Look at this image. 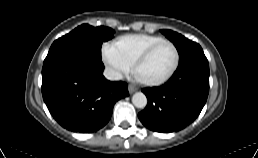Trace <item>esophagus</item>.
<instances>
[{
    "label": "esophagus",
    "instance_id": "34e87169",
    "mask_svg": "<svg viewBox=\"0 0 258 158\" xmlns=\"http://www.w3.org/2000/svg\"><path fill=\"white\" fill-rule=\"evenodd\" d=\"M135 90H136V86H135L134 84H130V85L128 86V91H129L130 93H133Z\"/></svg>",
    "mask_w": 258,
    "mask_h": 158
}]
</instances>
